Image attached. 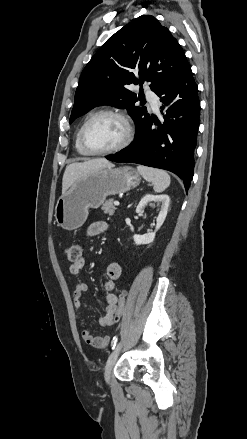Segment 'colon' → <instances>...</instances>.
Instances as JSON below:
<instances>
[{
  "mask_svg": "<svg viewBox=\"0 0 247 439\" xmlns=\"http://www.w3.org/2000/svg\"><path fill=\"white\" fill-rule=\"evenodd\" d=\"M68 259L72 262L77 261L82 257V247L79 244H73L69 247L67 251ZM126 305V294L123 292L121 293L114 312V321L119 320L121 317Z\"/></svg>",
  "mask_w": 247,
  "mask_h": 439,
  "instance_id": "1",
  "label": "colon"
}]
</instances>
